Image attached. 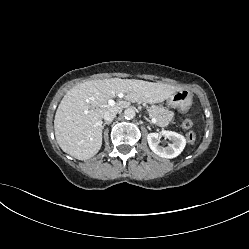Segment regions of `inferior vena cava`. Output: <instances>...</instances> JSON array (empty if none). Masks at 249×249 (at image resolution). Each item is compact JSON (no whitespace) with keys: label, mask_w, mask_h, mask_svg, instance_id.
<instances>
[{"label":"inferior vena cava","mask_w":249,"mask_h":249,"mask_svg":"<svg viewBox=\"0 0 249 249\" xmlns=\"http://www.w3.org/2000/svg\"><path fill=\"white\" fill-rule=\"evenodd\" d=\"M117 113L118 110L115 109L107 110L103 115V119L105 120V122H112Z\"/></svg>","instance_id":"inferior-vena-cava-1"}]
</instances>
